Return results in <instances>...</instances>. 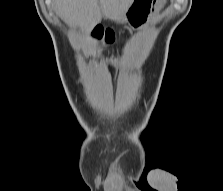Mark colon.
<instances>
[{"label": "colon", "mask_w": 223, "mask_h": 191, "mask_svg": "<svg viewBox=\"0 0 223 191\" xmlns=\"http://www.w3.org/2000/svg\"><path fill=\"white\" fill-rule=\"evenodd\" d=\"M106 39L108 42H110L112 40V34L108 33Z\"/></svg>", "instance_id": "obj_1"}]
</instances>
